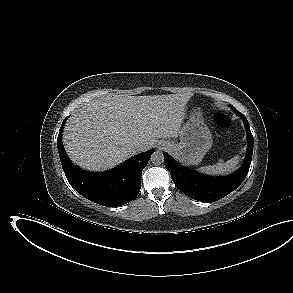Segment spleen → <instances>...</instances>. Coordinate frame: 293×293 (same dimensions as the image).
<instances>
[{"mask_svg": "<svg viewBox=\"0 0 293 293\" xmlns=\"http://www.w3.org/2000/svg\"><path fill=\"white\" fill-rule=\"evenodd\" d=\"M239 156H234L230 160L219 161L215 165H209L199 168L198 170L206 174L224 175L233 172L239 163Z\"/></svg>", "mask_w": 293, "mask_h": 293, "instance_id": "obj_1", "label": "spleen"}]
</instances>
